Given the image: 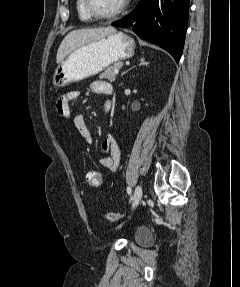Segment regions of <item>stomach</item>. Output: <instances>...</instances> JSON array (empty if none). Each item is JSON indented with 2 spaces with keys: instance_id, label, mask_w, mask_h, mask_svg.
<instances>
[{
  "instance_id": "obj_1",
  "label": "stomach",
  "mask_w": 240,
  "mask_h": 287,
  "mask_svg": "<svg viewBox=\"0 0 240 287\" xmlns=\"http://www.w3.org/2000/svg\"><path fill=\"white\" fill-rule=\"evenodd\" d=\"M135 43L121 31L79 46L68 54L55 70L53 84L65 87L103 71L112 63L134 55Z\"/></svg>"
}]
</instances>
